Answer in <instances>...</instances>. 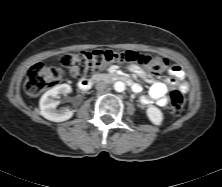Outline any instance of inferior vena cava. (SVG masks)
<instances>
[{
  "label": "inferior vena cava",
  "mask_w": 222,
  "mask_h": 187,
  "mask_svg": "<svg viewBox=\"0 0 222 187\" xmlns=\"http://www.w3.org/2000/svg\"><path fill=\"white\" fill-rule=\"evenodd\" d=\"M107 86H108V84H107V82H105V81H98V82L96 83V89H97L98 91H103V90H105V89L107 88Z\"/></svg>",
  "instance_id": "602c4592"
}]
</instances>
